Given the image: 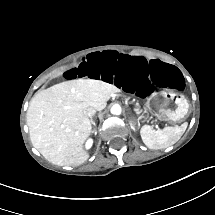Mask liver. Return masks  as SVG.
Wrapping results in <instances>:
<instances>
[{
  "label": "liver",
  "mask_w": 215,
  "mask_h": 215,
  "mask_svg": "<svg viewBox=\"0 0 215 215\" xmlns=\"http://www.w3.org/2000/svg\"><path fill=\"white\" fill-rule=\"evenodd\" d=\"M116 86L95 79H73L35 94L27 110L30 140L41 155L56 165H79L86 161L82 143L91 124L83 109L106 107Z\"/></svg>",
  "instance_id": "1"
}]
</instances>
